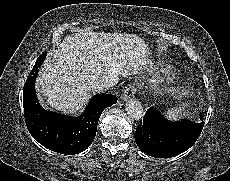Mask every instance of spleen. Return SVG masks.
I'll list each match as a JSON object with an SVG mask.
<instances>
[{"label": "spleen", "mask_w": 230, "mask_h": 181, "mask_svg": "<svg viewBox=\"0 0 230 181\" xmlns=\"http://www.w3.org/2000/svg\"><path fill=\"white\" fill-rule=\"evenodd\" d=\"M188 105H189L188 103H184L182 107L179 106V107L169 108L165 112V115L169 119L177 120L182 115V112H184L186 107H188Z\"/></svg>", "instance_id": "spleen-1"}]
</instances>
